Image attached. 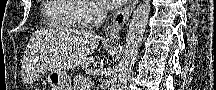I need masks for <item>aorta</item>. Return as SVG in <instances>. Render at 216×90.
Here are the masks:
<instances>
[{
  "mask_svg": "<svg viewBox=\"0 0 216 90\" xmlns=\"http://www.w3.org/2000/svg\"><path fill=\"white\" fill-rule=\"evenodd\" d=\"M150 0H142L132 12L125 42V50L116 74L111 82L110 90H124L128 76L138 56L143 34L148 26L150 16Z\"/></svg>",
  "mask_w": 216,
  "mask_h": 90,
  "instance_id": "aorta-1",
  "label": "aorta"
}]
</instances>
